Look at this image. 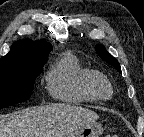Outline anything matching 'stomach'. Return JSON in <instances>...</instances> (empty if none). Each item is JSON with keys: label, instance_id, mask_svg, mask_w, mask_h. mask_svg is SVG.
Listing matches in <instances>:
<instances>
[{"label": "stomach", "instance_id": "stomach-1", "mask_svg": "<svg viewBox=\"0 0 144 137\" xmlns=\"http://www.w3.org/2000/svg\"><path fill=\"white\" fill-rule=\"evenodd\" d=\"M104 131L100 123L86 124L72 132L68 137H100Z\"/></svg>", "mask_w": 144, "mask_h": 137}]
</instances>
